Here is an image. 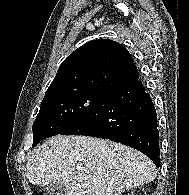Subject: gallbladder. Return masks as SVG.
I'll list each match as a JSON object with an SVG mask.
<instances>
[{
	"mask_svg": "<svg viewBox=\"0 0 189 195\" xmlns=\"http://www.w3.org/2000/svg\"><path fill=\"white\" fill-rule=\"evenodd\" d=\"M45 189L49 195H66V187L62 183H51Z\"/></svg>",
	"mask_w": 189,
	"mask_h": 195,
	"instance_id": "1",
	"label": "gallbladder"
}]
</instances>
